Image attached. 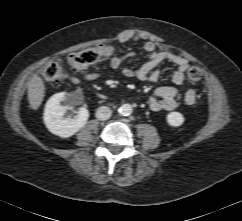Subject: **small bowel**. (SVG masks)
Here are the masks:
<instances>
[{
    "label": "small bowel",
    "mask_w": 242,
    "mask_h": 221,
    "mask_svg": "<svg viewBox=\"0 0 242 221\" xmlns=\"http://www.w3.org/2000/svg\"><path fill=\"white\" fill-rule=\"evenodd\" d=\"M145 40L144 50L147 52L146 60L137 68L125 67L121 70L123 76L134 78L140 81L155 82L159 72L155 69L161 62H169L176 66L172 75V81L176 86L184 83L185 72L189 67L187 59L170 51H157L156 44L149 35L139 31H126L120 37V42ZM133 56L128 52L112 57L109 61L111 69H119L122 64ZM102 70L85 71L79 75H71L69 80L74 84L83 81H93L100 77ZM179 91L175 86H163L156 89L149 100V107L154 112L172 111L178 106ZM196 92L193 89L186 90L181 96V103L184 106H191L195 103Z\"/></svg>",
    "instance_id": "c3829d8e"
}]
</instances>
